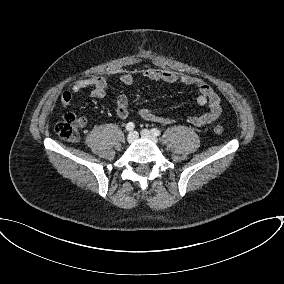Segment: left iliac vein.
<instances>
[{
  "label": "left iliac vein",
  "mask_w": 284,
  "mask_h": 284,
  "mask_svg": "<svg viewBox=\"0 0 284 284\" xmlns=\"http://www.w3.org/2000/svg\"><path fill=\"white\" fill-rule=\"evenodd\" d=\"M141 136L145 139H148L150 141H152L153 143H157L158 139L157 137L148 129H143L141 131Z\"/></svg>",
  "instance_id": "4c4485c4"
}]
</instances>
